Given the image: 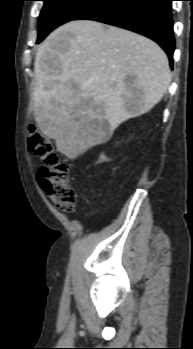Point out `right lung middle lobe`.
Wrapping results in <instances>:
<instances>
[{
  "mask_svg": "<svg viewBox=\"0 0 193 349\" xmlns=\"http://www.w3.org/2000/svg\"><path fill=\"white\" fill-rule=\"evenodd\" d=\"M44 6L40 13L38 39L40 43L52 30L73 20L96 0H42Z\"/></svg>",
  "mask_w": 193,
  "mask_h": 349,
  "instance_id": "right-lung-middle-lobe-1",
  "label": "right lung middle lobe"
}]
</instances>
